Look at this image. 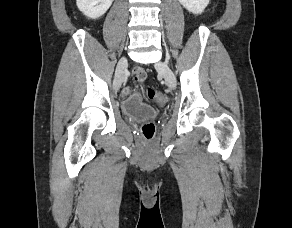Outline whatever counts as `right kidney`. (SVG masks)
<instances>
[{
    "instance_id": "right-kidney-1",
    "label": "right kidney",
    "mask_w": 292,
    "mask_h": 228,
    "mask_svg": "<svg viewBox=\"0 0 292 228\" xmlns=\"http://www.w3.org/2000/svg\"><path fill=\"white\" fill-rule=\"evenodd\" d=\"M112 2L113 0H76L78 9L91 19L104 15Z\"/></svg>"
}]
</instances>
